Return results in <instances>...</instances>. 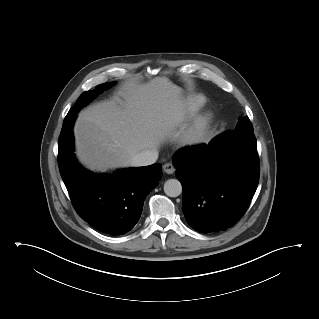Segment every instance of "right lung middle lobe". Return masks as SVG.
Here are the masks:
<instances>
[{"label":"right lung middle lobe","instance_id":"obj_1","mask_svg":"<svg viewBox=\"0 0 319 319\" xmlns=\"http://www.w3.org/2000/svg\"><path fill=\"white\" fill-rule=\"evenodd\" d=\"M110 83H104L101 85L96 86V88L93 91H86L84 92L77 100L75 106L68 112L67 116L64 119L62 131L59 137V141L66 138L71 132L74 120L76 118V114L78 111L89 101H91L93 98L97 97L98 94L102 93L104 90H107L110 88Z\"/></svg>","mask_w":319,"mask_h":319}]
</instances>
